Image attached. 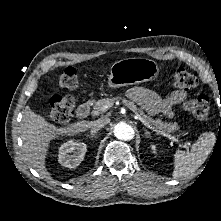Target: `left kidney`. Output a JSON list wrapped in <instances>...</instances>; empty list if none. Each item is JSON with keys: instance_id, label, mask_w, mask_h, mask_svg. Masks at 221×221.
<instances>
[{"instance_id": "left-kidney-1", "label": "left kidney", "mask_w": 221, "mask_h": 221, "mask_svg": "<svg viewBox=\"0 0 221 221\" xmlns=\"http://www.w3.org/2000/svg\"><path fill=\"white\" fill-rule=\"evenodd\" d=\"M151 149H152L153 153H156V146L155 145H152Z\"/></svg>"}]
</instances>
